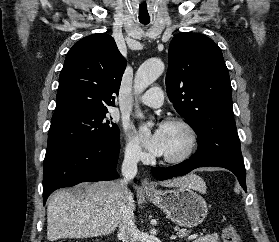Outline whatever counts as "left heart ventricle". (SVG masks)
<instances>
[{"mask_svg": "<svg viewBox=\"0 0 279 242\" xmlns=\"http://www.w3.org/2000/svg\"><path fill=\"white\" fill-rule=\"evenodd\" d=\"M165 151L163 156H173L181 153L186 146V134L182 128L164 125Z\"/></svg>", "mask_w": 279, "mask_h": 242, "instance_id": "obj_1", "label": "left heart ventricle"}]
</instances>
